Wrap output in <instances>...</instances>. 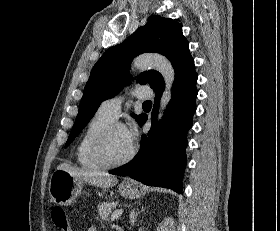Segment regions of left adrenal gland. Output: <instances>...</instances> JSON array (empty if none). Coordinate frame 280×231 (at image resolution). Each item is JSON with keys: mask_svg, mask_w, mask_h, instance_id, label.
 Returning <instances> with one entry per match:
<instances>
[{"mask_svg": "<svg viewBox=\"0 0 280 231\" xmlns=\"http://www.w3.org/2000/svg\"><path fill=\"white\" fill-rule=\"evenodd\" d=\"M143 209H144V207H142L141 211H143ZM138 213H140V211H135V209H132V211H130L131 225H133L134 221H136Z\"/></svg>", "mask_w": 280, "mask_h": 231, "instance_id": "left-adrenal-gland-1", "label": "left adrenal gland"}]
</instances>
